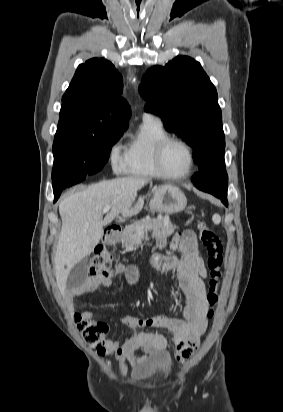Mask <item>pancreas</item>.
<instances>
[{
	"mask_svg": "<svg viewBox=\"0 0 283 412\" xmlns=\"http://www.w3.org/2000/svg\"><path fill=\"white\" fill-rule=\"evenodd\" d=\"M148 228L152 230V237L156 239L166 238L174 233L177 228L171 223L168 217H158L157 219L145 218L135 221L126 226L121 235V241L126 249H131L138 242L139 238L147 236Z\"/></svg>",
	"mask_w": 283,
	"mask_h": 412,
	"instance_id": "cf45deb5",
	"label": "pancreas"
}]
</instances>
